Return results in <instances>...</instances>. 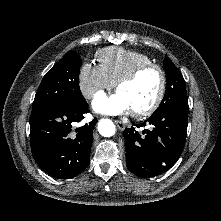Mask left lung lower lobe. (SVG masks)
Segmentation results:
<instances>
[{
    "instance_id": "1",
    "label": "left lung lower lobe",
    "mask_w": 221,
    "mask_h": 221,
    "mask_svg": "<svg viewBox=\"0 0 221 221\" xmlns=\"http://www.w3.org/2000/svg\"><path fill=\"white\" fill-rule=\"evenodd\" d=\"M188 110V101H181L124 130L126 165L132 173L154 177L177 162L186 140ZM140 127L149 129L140 133Z\"/></svg>"
}]
</instances>
